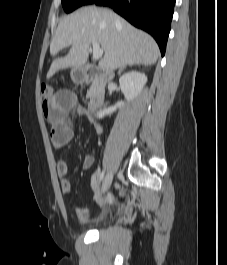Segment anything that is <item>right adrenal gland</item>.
<instances>
[{
    "label": "right adrenal gland",
    "instance_id": "right-adrenal-gland-1",
    "mask_svg": "<svg viewBox=\"0 0 227 265\" xmlns=\"http://www.w3.org/2000/svg\"><path fill=\"white\" fill-rule=\"evenodd\" d=\"M133 65L134 64H129V65H124V66L120 67L118 73H121L127 66L132 67Z\"/></svg>",
    "mask_w": 227,
    "mask_h": 265
}]
</instances>
